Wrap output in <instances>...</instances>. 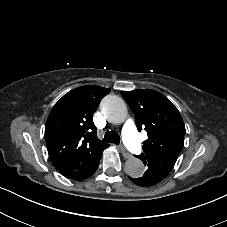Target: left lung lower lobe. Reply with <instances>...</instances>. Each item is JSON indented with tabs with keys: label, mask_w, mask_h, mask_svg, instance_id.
<instances>
[{
	"label": "left lung lower lobe",
	"mask_w": 227,
	"mask_h": 227,
	"mask_svg": "<svg viewBox=\"0 0 227 227\" xmlns=\"http://www.w3.org/2000/svg\"><path fill=\"white\" fill-rule=\"evenodd\" d=\"M167 176L164 172H162L159 168L156 166L150 165L148 166L147 171L144 173V175L140 178L133 179L131 177H128L133 183L140 185V186H151L155 185L158 182H160L162 179H164Z\"/></svg>",
	"instance_id": "1"
}]
</instances>
